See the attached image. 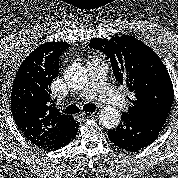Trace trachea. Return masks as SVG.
<instances>
[{
	"label": "trachea",
	"instance_id": "1",
	"mask_svg": "<svg viewBox=\"0 0 178 178\" xmlns=\"http://www.w3.org/2000/svg\"><path fill=\"white\" fill-rule=\"evenodd\" d=\"M96 108L97 107H96L95 104H85L83 106V111H85V112H94ZM63 112L67 113V114H76V113L80 112V109L76 105H69L63 110Z\"/></svg>",
	"mask_w": 178,
	"mask_h": 178
}]
</instances>
